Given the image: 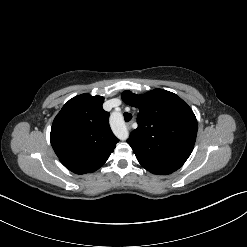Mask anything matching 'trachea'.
I'll return each instance as SVG.
<instances>
[{"mask_svg":"<svg viewBox=\"0 0 247 247\" xmlns=\"http://www.w3.org/2000/svg\"><path fill=\"white\" fill-rule=\"evenodd\" d=\"M124 119L126 122H129L132 119V114L130 113H124Z\"/></svg>","mask_w":247,"mask_h":247,"instance_id":"3493384b","label":"trachea"}]
</instances>
